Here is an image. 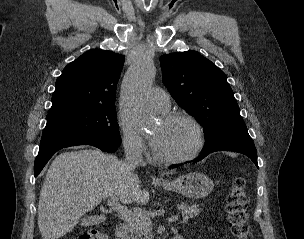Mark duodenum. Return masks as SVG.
Returning <instances> with one entry per match:
<instances>
[{"label": "duodenum", "mask_w": 304, "mask_h": 239, "mask_svg": "<svg viewBox=\"0 0 304 239\" xmlns=\"http://www.w3.org/2000/svg\"><path fill=\"white\" fill-rule=\"evenodd\" d=\"M128 225L126 223H119L115 228L116 239H127ZM173 239H184L183 236L177 235Z\"/></svg>", "instance_id": "1"}]
</instances>
